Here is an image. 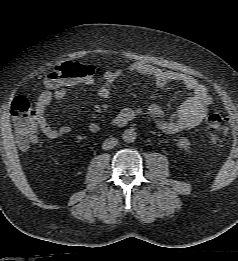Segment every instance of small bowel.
<instances>
[{
    "label": "small bowel",
    "mask_w": 238,
    "mask_h": 261,
    "mask_svg": "<svg viewBox=\"0 0 238 261\" xmlns=\"http://www.w3.org/2000/svg\"><path fill=\"white\" fill-rule=\"evenodd\" d=\"M127 71L154 78L156 85L160 88L170 82L179 83L191 92V96L171 115L165 114L157 104H151L145 110L137 107H125L112 119L114 126H125L135 118L143 115L152 120L163 132L167 134H177L196 127L206 117L212 99L206 86L194 77L171 70H162L141 61L130 64ZM123 74L124 70L121 69L107 70L104 72L103 84L98 89L99 97L108 99L111 94L112 85L122 77ZM93 82L94 78L93 75H91L57 87L48 85V89L39 95L35 106V116L37 125L45 136L55 139L71 132V128L68 125L55 128L49 123L46 111L51 102L54 100H62L66 96L69 87L77 84L89 86L92 85ZM99 129L100 127L96 122H91L88 125V130L91 133H97Z\"/></svg>",
    "instance_id": "1"
}]
</instances>
